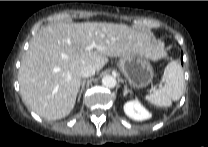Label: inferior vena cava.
<instances>
[{"instance_id": "inferior-vena-cava-1", "label": "inferior vena cava", "mask_w": 208, "mask_h": 147, "mask_svg": "<svg viewBox=\"0 0 208 147\" xmlns=\"http://www.w3.org/2000/svg\"><path fill=\"white\" fill-rule=\"evenodd\" d=\"M95 72H96L95 67H93V66H85V67H83L81 69L80 76L82 78H88L90 76H93L95 74Z\"/></svg>"}]
</instances>
